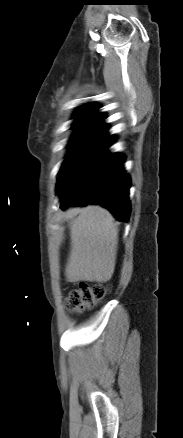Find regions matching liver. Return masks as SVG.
<instances>
[{
  "instance_id": "obj_1",
  "label": "liver",
  "mask_w": 183,
  "mask_h": 438,
  "mask_svg": "<svg viewBox=\"0 0 183 438\" xmlns=\"http://www.w3.org/2000/svg\"><path fill=\"white\" fill-rule=\"evenodd\" d=\"M71 251L66 266L68 282L106 283L114 273L118 229L109 211L100 206L70 208Z\"/></svg>"
}]
</instances>
